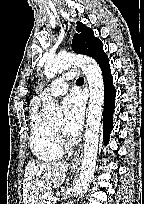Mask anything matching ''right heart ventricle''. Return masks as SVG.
Instances as JSON below:
<instances>
[{"label":"right heart ventricle","mask_w":144,"mask_h":204,"mask_svg":"<svg viewBox=\"0 0 144 204\" xmlns=\"http://www.w3.org/2000/svg\"><path fill=\"white\" fill-rule=\"evenodd\" d=\"M30 148L34 156L45 162L56 161L62 156L53 127L41 116L38 105L32 106L29 116Z\"/></svg>","instance_id":"e07e8e85"}]
</instances>
